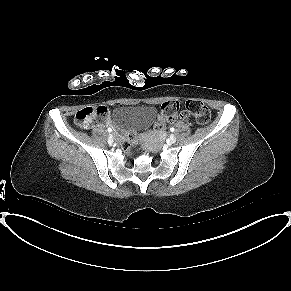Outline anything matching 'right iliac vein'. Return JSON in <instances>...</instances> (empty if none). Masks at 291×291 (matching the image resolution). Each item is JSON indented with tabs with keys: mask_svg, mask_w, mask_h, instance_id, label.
Segmentation results:
<instances>
[{
	"mask_svg": "<svg viewBox=\"0 0 291 291\" xmlns=\"http://www.w3.org/2000/svg\"><path fill=\"white\" fill-rule=\"evenodd\" d=\"M114 134V133H113ZM108 143L109 144H112L113 143V136L110 135L109 138H108Z\"/></svg>",
	"mask_w": 291,
	"mask_h": 291,
	"instance_id": "right-iliac-vein-1",
	"label": "right iliac vein"
}]
</instances>
